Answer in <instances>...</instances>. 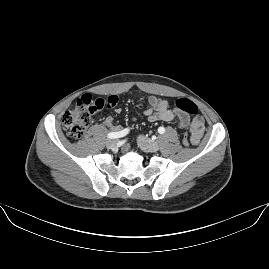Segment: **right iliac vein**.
Returning a JSON list of instances; mask_svg holds the SVG:
<instances>
[{"label": "right iliac vein", "mask_w": 269, "mask_h": 269, "mask_svg": "<svg viewBox=\"0 0 269 269\" xmlns=\"http://www.w3.org/2000/svg\"><path fill=\"white\" fill-rule=\"evenodd\" d=\"M117 143H118L117 139H109L106 142V146H107L108 149H113L116 146Z\"/></svg>", "instance_id": "obj_1"}]
</instances>
